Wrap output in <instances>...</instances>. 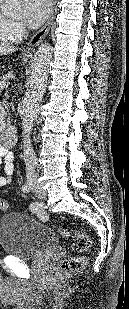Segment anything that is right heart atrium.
Returning <instances> with one entry per match:
<instances>
[{
	"label": "right heart atrium",
	"instance_id": "obj_1",
	"mask_svg": "<svg viewBox=\"0 0 129 309\" xmlns=\"http://www.w3.org/2000/svg\"><path fill=\"white\" fill-rule=\"evenodd\" d=\"M12 32L14 36L19 39L25 35V28L22 23L17 21H12Z\"/></svg>",
	"mask_w": 129,
	"mask_h": 309
}]
</instances>
